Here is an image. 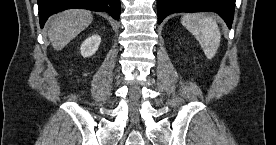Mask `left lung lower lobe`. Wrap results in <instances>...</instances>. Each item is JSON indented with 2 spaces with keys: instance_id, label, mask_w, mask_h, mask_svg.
<instances>
[{
  "instance_id": "1",
  "label": "left lung lower lobe",
  "mask_w": 276,
  "mask_h": 145,
  "mask_svg": "<svg viewBox=\"0 0 276 145\" xmlns=\"http://www.w3.org/2000/svg\"><path fill=\"white\" fill-rule=\"evenodd\" d=\"M235 0H157L158 24L172 13L213 11L231 28Z\"/></svg>"
}]
</instances>
